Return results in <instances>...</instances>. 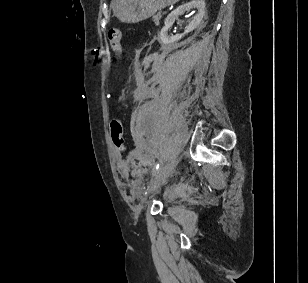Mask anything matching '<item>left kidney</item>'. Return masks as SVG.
I'll list each match as a JSON object with an SVG mask.
<instances>
[{"label": "left kidney", "mask_w": 308, "mask_h": 283, "mask_svg": "<svg viewBox=\"0 0 308 283\" xmlns=\"http://www.w3.org/2000/svg\"><path fill=\"white\" fill-rule=\"evenodd\" d=\"M196 8L197 14L186 27L183 34L178 35H168V29L172 26L174 21L186 11ZM205 16V2L204 0H192L189 3L179 6L177 9L172 11L168 17L165 19L164 27L161 29L159 34V39L164 45H170L178 40H180L185 34L196 29L202 22L203 17Z\"/></svg>", "instance_id": "obj_1"}]
</instances>
